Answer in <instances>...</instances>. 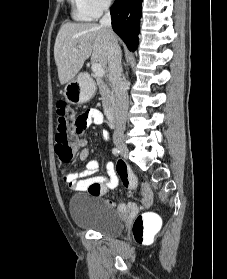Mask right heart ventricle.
I'll return each instance as SVG.
<instances>
[{"instance_id": "right-heart-ventricle-1", "label": "right heart ventricle", "mask_w": 227, "mask_h": 279, "mask_svg": "<svg viewBox=\"0 0 227 279\" xmlns=\"http://www.w3.org/2000/svg\"><path fill=\"white\" fill-rule=\"evenodd\" d=\"M74 4L73 17L76 20L86 21L91 18L87 10L84 8L82 0H71Z\"/></svg>"}]
</instances>
